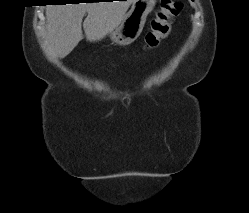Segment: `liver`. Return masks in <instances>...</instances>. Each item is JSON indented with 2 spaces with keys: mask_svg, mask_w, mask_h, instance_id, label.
Masks as SVG:
<instances>
[{
  "mask_svg": "<svg viewBox=\"0 0 249 213\" xmlns=\"http://www.w3.org/2000/svg\"><path fill=\"white\" fill-rule=\"evenodd\" d=\"M134 0L48 5L46 7L47 43L58 57L70 54L83 39L82 19L86 39H103L123 19Z\"/></svg>",
  "mask_w": 249,
  "mask_h": 213,
  "instance_id": "liver-1",
  "label": "liver"
}]
</instances>
